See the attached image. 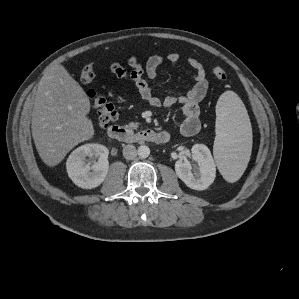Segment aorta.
<instances>
[{"mask_svg": "<svg viewBox=\"0 0 299 299\" xmlns=\"http://www.w3.org/2000/svg\"><path fill=\"white\" fill-rule=\"evenodd\" d=\"M137 154L140 158H147L150 155V148L146 145L138 147Z\"/></svg>", "mask_w": 299, "mask_h": 299, "instance_id": "762f6f07", "label": "aorta"}]
</instances>
